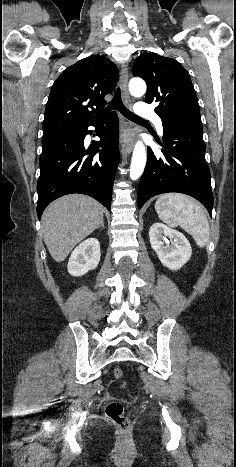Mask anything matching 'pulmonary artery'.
Listing matches in <instances>:
<instances>
[{
    "instance_id": "pulmonary-artery-1",
    "label": "pulmonary artery",
    "mask_w": 236,
    "mask_h": 467,
    "mask_svg": "<svg viewBox=\"0 0 236 467\" xmlns=\"http://www.w3.org/2000/svg\"><path fill=\"white\" fill-rule=\"evenodd\" d=\"M135 111L138 116L153 120L158 132L160 134L163 133L162 121L160 117L155 113L154 108L150 104L146 102H139L135 108Z\"/></svg>"
}]
</instances>
